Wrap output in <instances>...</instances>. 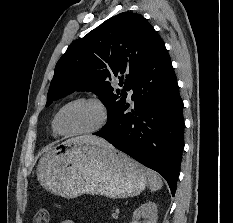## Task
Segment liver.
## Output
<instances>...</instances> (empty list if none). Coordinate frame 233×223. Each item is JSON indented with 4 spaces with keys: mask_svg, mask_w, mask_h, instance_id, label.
I'll list each match as a JSON object with an SVG mask.
<instances>
[{
    "mask_svg": "<svg viewBox=\"0 0 233 223\" xmlns=\"http://www.w3.org/2000/svg\"><path fill=\"white\" fill-rule=\"evenodd\" d=\"M71 143H93V145H104V147H112L111 143H108L106 139L103 137H96V135H91V133H87V135H80V137H71L68 139Z\"/></svg>",
    "mask_w": 233,
    "mask_h": 223,
    "instance_id": "1",
    "label": "liver"
}]
</instances>
